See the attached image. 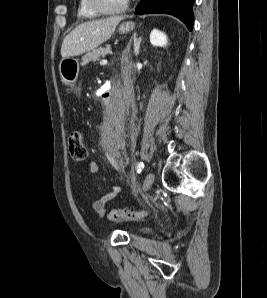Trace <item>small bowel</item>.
<instances>
[{
  "mask_svg": "<svg viewBox=\"0 0 267 298\" xmlns=\"http://www.w3.org/2000/svg\"><path fill=\"white\" fill-rule=\"evenodd\" d=\"M116 168L118 170H121V166H116ZM100 170L99 166L94 163L91 162L88 165V171L90 173H98ZM121 191V187L120 186H114L110 192H108L105 195L99 196L96 199H94V201L92 202V207L94 208V210L99 214V215H103L105 212V205L110 202L111 200H113L114 198H116L118 196V194Z\"/></svg>",
  "mask_w": 267,
  "mask_h": 298,
  "instance_id": "small-bowel-1",
  "label": "small bowel"
}]
</instances>
